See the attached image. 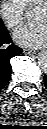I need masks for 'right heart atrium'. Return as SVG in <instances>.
I'll use <instances>...</instances> for the list:
<instances>
[{"label":"right heart atrium","mask_w":47,"mask_h":129,"mask_svg":"<svg viewBox=\"0 0 47 129\" xmlns=\"http://www.w3.org/2000/svg\"><path fill=\"white\" fill-rule=\"evenodd\" d=\"M25 10L26 7L21 0H2L0 3V16L11 29L23 22Z\"/></svg>","instance_id":"obj_1"}]
</instances>
